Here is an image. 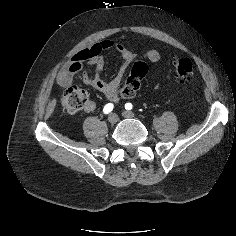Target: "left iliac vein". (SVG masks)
<instances>
[{
    "label": "left iliac vein",
    "instance_id": "left-iliac-vein-1",
    "mask_svg": "<svg viewBox=\"0 0 236 236\" xmlns=\"http://www.w3.org/2000/svg\"><path fill=\"white\" fill-rule=\"evenodd\" d=\"M122 115H123V117H125V118H134V117H135L134 113L131 112V111H124V112L122 113Z\"/></svg>",
    "mask_w": 236,
    "mask_h": 236
}]
</instances>
